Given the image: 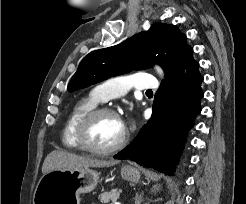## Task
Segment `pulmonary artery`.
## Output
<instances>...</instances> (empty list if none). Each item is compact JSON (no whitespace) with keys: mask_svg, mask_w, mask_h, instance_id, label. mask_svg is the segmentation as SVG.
Wrapping results in <instances>:
<instances>
[{"mask_svg":"<svg viewBox=\"0 0 246 204\" xmlns=\"http://www.w3.org/2000/svg\"><path fill=\"white\" fill-rule=\"evenodd\" d=\"M157 87L158 82L154 76L140 72L108 79L96 86L92 91V95L98 102H106L125 95L132 88L137 90H152Z\"/></svg>","mask_w":246,"mask_h":204,"instance_id":"pulmonary-artery-1","label":"pulmonary artery"}]
</instances>
